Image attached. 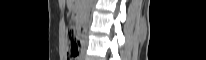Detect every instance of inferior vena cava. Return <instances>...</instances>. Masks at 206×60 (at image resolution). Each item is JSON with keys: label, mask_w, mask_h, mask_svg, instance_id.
I'll return each mask as SVG.
<instances>
[{"label": "inferior vena cava", "mask_w": 206, "mask_h": 60, "mask_svg": "<svg viewBox=\"0 0 206 60\" xmlns=\"http://www.w3.org/2000/svg\"><path fill=\"white\" fill-rule=\"evenodd\" d=\"M86 22H89V14L86 15Z\"/></svg>", "instance_id": "1"}]
</instances>
